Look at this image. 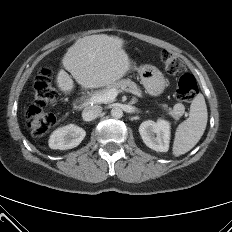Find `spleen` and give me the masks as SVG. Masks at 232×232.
I'll use <instances>...</instances> for the list:
<instances>
[{"instance_id": "spleen-1", "label": "spleen", "mask_w": 232, "mask_h": 232, "mask_svg": "<svg viewBox=\"0 0 232 232\" xmlns=\"http://www.w3.org/2000/svg\"><path fill=\"white\" fill-rule=\"evenodd\" d=\"M207 120L204 96L198 94L191 103L189 118L180 123L176 129L172 148L174 156L187 153L198 143L206 129Z\"/></svg>"}]
</instances>
